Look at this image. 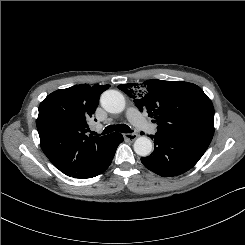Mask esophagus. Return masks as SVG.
Instances as JSON below:
<instances>
[{
	"instance_id": "34e87169",
	"label": "esophagus",
	"mask_w": 245,
	"mask_h": 245,
	"mask_svg": "<svg viewBox=\"0 0 245 245\" xmlns=\"http://www.w3.org/2000/svg\"><path fill=\"white\" fill-rule=\"evenodd\" d=\"M137 134L134 133H126L124 134V138L129 141H134L137 138Z\"/></svg>"
}]
</instances>
